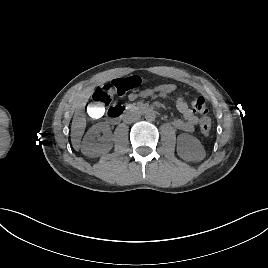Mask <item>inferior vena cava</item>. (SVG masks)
Listing matches in <instances>:
<instances>
[{"label":"inferior vena cava","instance_id":"1","mask_svg":"<svg viewBox=\"0 0 268 268\" xmlns=\"http://www.w3.org/2000/svg\"><path fill=\"white\" fill-rule=\"evenodd\" d=\"M139 115L136 114L135 112H128L124 115L123 121L125 123H133L139 120Z\"/></svg>","mask_w":268,"mask_h":268}]
</instances>
